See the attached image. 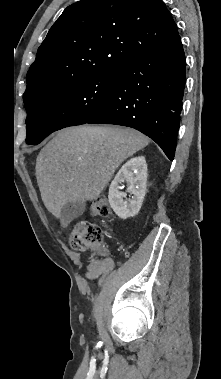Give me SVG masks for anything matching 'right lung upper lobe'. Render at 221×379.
Masks as SVG:
<instances>
[{
    "mask_svg": "<svg viewBox=\"0 0 221 379\" xmlns=\"http://www.w3.org/2000/svg\"><path fill=\"white\" fill-rule=\"evenodd\" d=\"M178 35L162 0H81L68 6L38 48L24 103L76 78L118 69Z\"/></svg>",
    "mask_w": 221,
    "mask_h": 379,
    "instance_id": "right-lung-upper-lobe-1",
    "label": "right lung upper lobe"
}]
</instances>
